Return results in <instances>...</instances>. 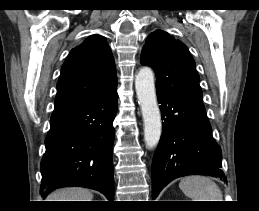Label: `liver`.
Instances as JSON below:
<instances>
[{"label": "liver", "instance_id": "6515ba94", "mask_svg": "<svg viewBox=\"0 0 259 211\" xmlns=\"http://www.w3.org/2000/svg\"><path fill=\"white\" fill-rule=\"evenodd\" d=\"M92 193L84 188H64L49 195L48 201H92Z\"/></svg>", "mask_w": 259, "mask_h": 211}]
</instances>
